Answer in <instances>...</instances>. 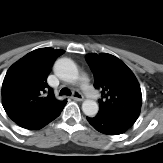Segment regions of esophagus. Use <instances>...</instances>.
Segmentation results:
<instances>
[{"label": "esophagus", "mask_w": 163, "mask_h": 163, "mask_svg": "<svg viewBox=\"0 0 163 163\" xmlns=\"http://www.w3.org/2000/svg\"><path fill=\"white\" fill-rule=\"evenodd\" d=\"M71 98H72L73 100H76V101H82V100L84 99V96H83L80 92L74 91V92L72 93Z\"/></svg>", "instance_id": "34e87169"}]
</instances>
